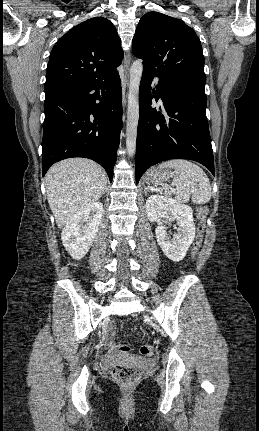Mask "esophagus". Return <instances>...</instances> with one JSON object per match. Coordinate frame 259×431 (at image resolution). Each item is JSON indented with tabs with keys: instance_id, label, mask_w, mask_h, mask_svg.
<instances>
[{
	"instance_id": "1",
	"label": "esophagus",
	"mask_w": 259,
	"mask_h": 431,
	"mask_svg": "<svg viewBox=\"0 0 259 431\" xmlns=\"http://www.w3.org/2000/svg\"><path fill=\"white\" fill-rule=\"evenodd\" d=\"M130 63H131V53L129 52L126 55L125 62H124L126 74L128 73V70H129V67H130Z\"/></svg>"
}]
</instances>
